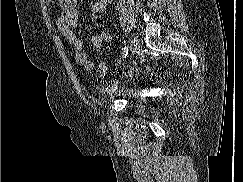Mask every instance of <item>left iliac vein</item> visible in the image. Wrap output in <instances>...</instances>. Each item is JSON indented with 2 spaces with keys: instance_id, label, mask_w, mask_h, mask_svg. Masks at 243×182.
Instances as JSON below:
<instances>
[{
  "instance_id": "4c4485c4",
  "label": "left iliac vein",
  "mask_w": 243,
  "mask_h": 182,
  "mask_svg": "<svg viewBox=\"0 0 243 182\" xmlns=\"http://www.w3.org/2000/svg\"><path fill=\"white\" fill-rule=\"evenodd\" d=\"M139 50H140V41L137 37H133L131 40V43H130V51H131L132 55L137 54ZM123 74L127 76V72H123ZM119 83H120V81L116 80L112 84V86L109 89V94L112 95L115 92Z\"/></svg>"
}]
</instances>
